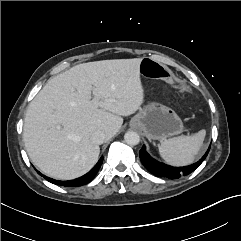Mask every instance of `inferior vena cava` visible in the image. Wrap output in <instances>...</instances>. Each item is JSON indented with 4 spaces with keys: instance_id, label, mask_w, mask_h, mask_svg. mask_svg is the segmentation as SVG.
I'll list each match as a JSON object with an SVG mask.
<instances>
[{
    "instance_id": "1",
    "label": "inferior vena cava",
    "mask_w": 241,
    "mask_h": 241,
    "mask_svg": "<svg viewBox=\"0 0 241 241\" xmlns=\"http://www.w3.org/2000/svg\"><path fill=\"white\" fill-rule=\"evenodd\" d=\"M106 139V135L103 131H95L91 135V140L95 144H102Z\"/></svg>"
}]
</instances>
